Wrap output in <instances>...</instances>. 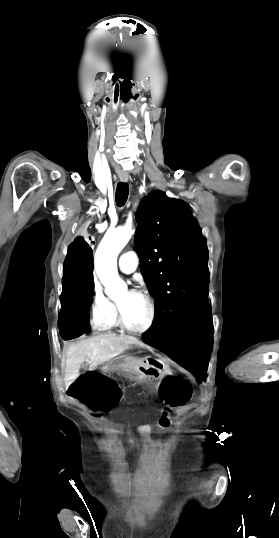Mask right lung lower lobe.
I'll return each instance as SVG.
<instances>
[{"label": "right lung lower lobe", "instance_id": "obj_1", "mask_svg": "<svg viewBox=\"0 0 279 538\" xmlns=\"http://www.w3.org/2000/svg\"><path fill=\"white\" fill-rule=\"evenodd\" d=\"M63 275L58 327L61 337L69 340L90 331L88 305L93 291V252L82 238L69 246Z\"/></svg>", "mask_w": 279, "mask_h": 538}]
</instances>
